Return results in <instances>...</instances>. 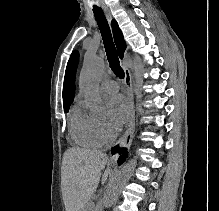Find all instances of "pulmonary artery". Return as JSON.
Here are the masks:
<instances>
[{
    "instance_id": "obj_1",
    "label": "pulmonary artery",
    "mask_w": 219,
    "mask_h": 211,
    "mask_svg": "<svg viewBox=\"0 0 219 211\" xmlns=\"http://www.w3.org/2000/svg\"><path fill=\"white\" fill-rule=\"evenodd\" d=\"M101 90L109 94H114L118 92L119 86L113 80H105L101 84Z\"/></svg>"
}]
</instances>
